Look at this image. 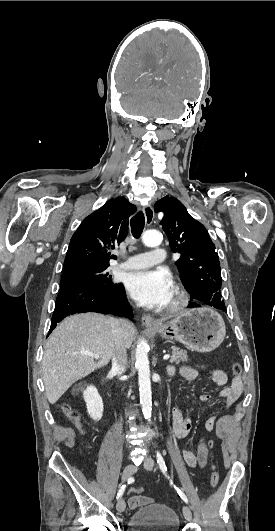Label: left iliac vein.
Segmentation results:
<instances>
[{
    "label": "left iliac vein",
    "mask_w": 275,
    "mask_h": 531,
    "mask_svg": "<svg viewBox=\"0 0 275 531\" xmlns=\"http://www.w3.org/2000/svg\"><path fill=\"white\" fill-rule=\"evenodd\" d=\"M144 467L147 469V470H152L153 467H154V460L151 458V457H147L145 460H144V463H143ZM183 515L185 517V519L188 521V522H191L192 521V512H191V509L184 505L183 506Z\"/></svg>",
    "instance_id": "left-iliac-vein-1"
}]
</instances>
